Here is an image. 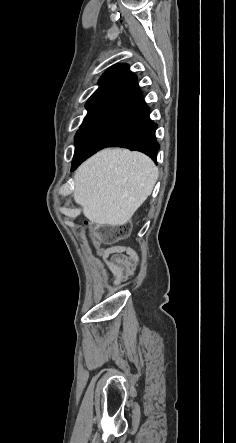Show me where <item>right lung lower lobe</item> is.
Instances as JSON below:
<instances>
[{"label": "right lung lower lobe", "mask_w": 236, "mask_h": 443, "mask_svg": "<svg viewBox=\"0 0 236 443\" xmlns=\"http://www.w3.org/2000/svg\"><path fill=\"white\" fill-rule=\"evenodd\" d=\"M148 112L138 84L107 98L77 132L71 170L105 147L137 150L156 161L157 124L150 120Z\"/></svg>", "instance_id": "1"}]
</instances>
